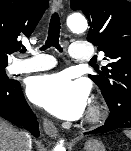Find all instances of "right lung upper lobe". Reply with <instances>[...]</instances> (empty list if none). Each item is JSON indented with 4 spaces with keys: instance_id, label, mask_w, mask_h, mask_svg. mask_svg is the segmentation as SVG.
Wrapping results in <instances>:
<instances>
[{
    "instance_id": "right-lung-upper-lobe-1",
    "label": "right lung upper lobe",
    "mask_w": 131,
    "mask_h": 151,
    "mask_svg": "<svg viewBox=\"0 0 131 151\" xmlns=\"http://www.w3.org/2000/svg\"><path fill=\"white\" fill-rule=\"evenodd\" d=\"M49 0H0V63L21 47L19 38L29 37L48 8Z\"/></svg>"
}]
</instances>
